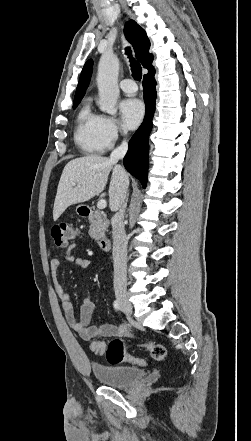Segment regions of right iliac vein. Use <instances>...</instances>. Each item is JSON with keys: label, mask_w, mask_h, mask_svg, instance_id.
Instances as JSON below:
<instances>
[{"label": "right iliac vein", "mask_w": 251, "mask_h": 441, "mask_svg": "<svg viewBox=\"0 0 251 441\" xmlns=\"http://www.w3.org/2000/svg\"><path fill=\"white\" fill-rule=\"evenodd\" d=\"M117 301L120 304L121 309L127 313L128 315L132 314V305L128 301V298L125 293H117L116 294Z\"/></svg>", "instance_id": "right-iliac-vein-1"}]
</instances>
